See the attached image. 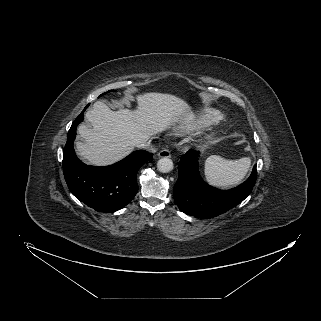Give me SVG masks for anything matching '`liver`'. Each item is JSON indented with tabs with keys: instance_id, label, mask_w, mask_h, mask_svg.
<instances>
[{
	"instance_id": "6515ba94",
	"label": "liver",
	"mask_w": 321,
	"mask_h": 321,
	"mask_svg": "<svg viewBox=\"0 0 321 321\" xmlns=\"http://www.w3.org/2000/svg\"><path fill=\"white\" fill-rule=\"evenodd\" d=\"M137 108L112 111L97 101L86 112L92 128L82 124L76 142L78 154L89 164L104 166L127 156L137 145L146 142L192 117L189 104L183 99L164 93L136 94Z\"/></svg>"
}]
</instances>
